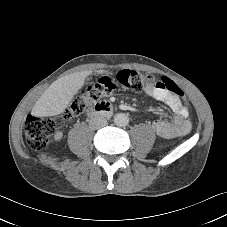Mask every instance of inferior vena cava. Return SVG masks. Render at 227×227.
Here are the masks:
<instances>
[{
    "label": "inferior vena cava",
    "mask_w": 227,
    "mask_h": 227,
    "mask_svg": "<svg viewBox=\"0 0 227 227\" xmlns=\"http://www.w3.org/2000/svg\"><path fill=\"white\" fill-rule=\"evenodd\" d=\"M89 125L92 129H100L107 125V120L102 116L93 117L90 119Z\"/></svg>",
    "instance_id": "602c4592"
}]
</instances>
